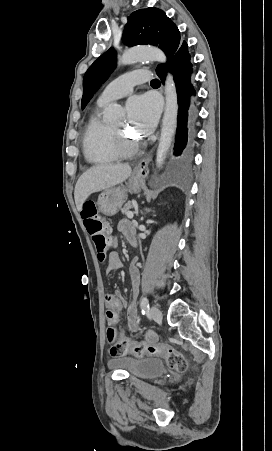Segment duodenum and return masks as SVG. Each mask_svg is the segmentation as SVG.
<instances>
[{"label": "duodenum", "instance_id": "obj_1", "mask_svg": "<svg viewBox=\"0 0 272 451\" xmlns=\"http://www.w3.org/2000/svg\"><path fill=\"white\" fill-rule=\"evenodd\" d=\"M131 243H132L133 245H135V244H136V239H132V240H131Z\"/></svg>", "mask_w": 272, "mask_h": 451}]
</instances>
